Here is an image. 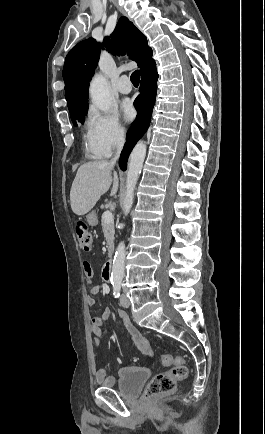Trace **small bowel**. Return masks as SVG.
Segmentation results:
<instances>
[{"label": "small bowel", "instance_id": "small-bowel-1", "mask_svg": "<svg viewBox=\"0 0 265 434\" xmlns=\"http://www.w3.org/2000/svg\"><path fill=\"white\" fill-rule=\"evenodd\" d=\"M101 292V288L98 285L93 286L86 296V304L89 308L95 305V297ZM119 310V315L123 319L127 330L129 331L131 338L130 342L136 346L138 349L145 353L150 352L149 341L141 334V332L136 328L131 321L128 319V313L121 311V307L117 308ZM111 316L110 309L106 308L103 310L102 314L97 317H93L91 320V330L94 336V345L96 348L100 347V337L103 334V325L109 320ZM94 376L97 382H100L102 387H112V378H107V374L104 368L100 367L98 364L94 371Z\"/></svg>", "mask_w": 265, "mask_h": 434}]
</instances>
